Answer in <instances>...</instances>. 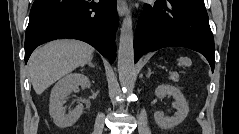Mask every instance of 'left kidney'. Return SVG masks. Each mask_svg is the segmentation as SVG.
<instances>
[{
  "label": "left kidney",
  "mask_w": 239,
  "mask_h": 134,
  "mask_svg": "<svg viewBox=\"0 0 239 134\" xmlns=\"http://www.w3.org/2000/svg\"><path fill=\"white\" fill-rule=\"evenodd\" d=\"M157 97L166 95L172 96L175 99L177 112L171 117H164L161 112L154 113L156 124L162 129H171L182 123L189 112V106L181 91L169 84H162L155 89Z\"/></svg>",
  "instance_id": "left-kidney-1"
}]
</instances>
